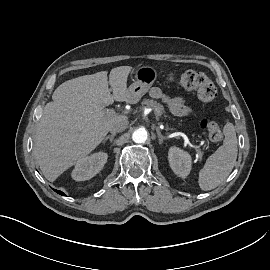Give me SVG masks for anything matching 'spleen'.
Returning <instances> with one entry per match:
<instances>
[{
    "mask_svg": "<svg viewBox=\"0 0 270 270\" xmlns=\"http://www.w3.org/2000/svg\"><path fill=\"white\" fill-rule=\"evenodd\" d=\"M224 141L199 172L198 183L202 190L209 191L226 180L237 159V137L234 126L227 123L224 127Z\"/></svg>",
    "mask_w": 270,
    "mask_h": 270,
    "instance_id": "spleen-1",
    "label": "spleen"
}]
</instances>
